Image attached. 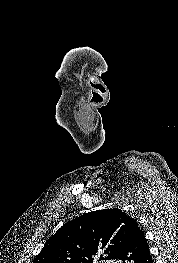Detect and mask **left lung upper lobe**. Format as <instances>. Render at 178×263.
<instances>
[{
    "instance_id": "left-lung-upper-lobe-1",
    "label": "left lung upper lobe",
    "mask_w": 178,
    "mask_h": 263,
    "mask_svg": "<svg viewBox=\"0 0 178 263\" xmlns=\"http://www.w3.org/2000/svg\"><path fill=\"white\" fill-rule=\"evenodd\" d=\"M133 220L116 208L85 213L50 237L33 263H93L101 253L114 259Z\"/></svg>"
}]
</instances>
